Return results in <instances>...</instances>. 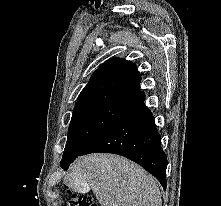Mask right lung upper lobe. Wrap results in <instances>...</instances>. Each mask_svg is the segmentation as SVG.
Returning <instances> with one entry per match:
<instances>
[{
	"label": "right lung upper lobe",
	"mask_w": 221,
	"mask_h": 206,
	"mask_svg": "<svg viewBox=\"0 0 221 206\" xmlns=\"http://www.w3.org/2000/svg\"><path fill=\"white\" fill-rule=\"evenodd\" d=\"M140 73L131 61L114 58L103 63L81 91L75 109L95 105L128 108L145 97Z\"/></svg>",
	"instance_id": "right-lung-upper-lobe-1"
}]
</instances>
